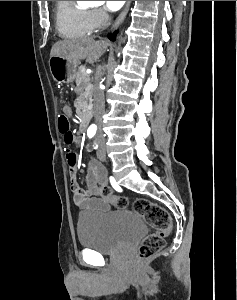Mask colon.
Segmentation results:
<instances>
[{
	"label": "colon",
	"instance_id": "obj_1",
	"mask_svg": "<svg viewBox=\"0 0 237 300\" xmlns=\"http://www.w3.org/2000/svg\"><path fill=\"white\" fill-rule=\"evenodd\" d=\"M58 128L66 145L77 143V136L71 128L68 117L64 114L58 118ZM101 195L118 209H125L128 206L127 198L113 194L108 186L101 188ZM132 207L134 212L143 216L153 229V232L142 240L137 251L139 260H148L163 248L165 244L164 237L171 229V217L166 209L145 198L136 199Z\"/></svg>",
	"mask_w": 237,
	"mask_h": 300
}]
</instances>
